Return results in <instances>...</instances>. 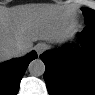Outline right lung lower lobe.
Here are the masks:
<instances>
[{"label": "right lung lower lobe", "mask_w": 95, "mask_h": 95, "mask_svg": "<svg viewBox=\"0 0 95 95\" xmlns=\"http://www.w3.org/2000/svg\"><path fill=\"white\" fill-rule=\"evenodd\" d=\"M37 57L36 52L29 55L13 59L0 65V82L2 94L16 95L20 86V81L27 69L28 64Z\"/></svg>", "instance_id": "98d812e1"}]
</instances>
